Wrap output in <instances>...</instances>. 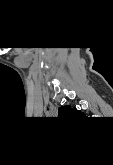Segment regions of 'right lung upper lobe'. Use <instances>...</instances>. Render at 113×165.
<instances>
[{"label":"right lung upper lobe","mask_w":113,"mask_h":165,"mask_svg":"<svg viewBox=\"0 0 113 165\" xmlns=\"http://www.w3.org/2000/svg\"><path fill=\"white\" fill-rule=\"evenodd\" d=\"M58 112H59V117L60 116H63V117L66 116V118H72L74 116H81L82 115L81 111L77 110L76 108H72L69 105L60 107Z\"/></svg>","instance_id":"1"}]
</instances>
